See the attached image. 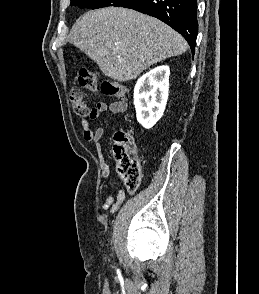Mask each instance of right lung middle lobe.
<instances>
[{"mask_svg":"<svg viewBox=\"0 0 259 294\" xmlns=\"http://www.w3.org/2000/svg\"><path fill=\"white\" fill-rule=\"evenodd\" d=\"M128 1L129 0H71V6L91 9H97L107 6L120 7Z\"/></svg>","mask_w":259,"mask_h":294,"instance_id":"1","label":"right lung middle lobe"}]
</instances>
